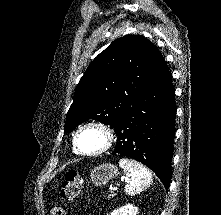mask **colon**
<instances>
[{"label": "colon", "instance_id": "obj_1", "mask_svg": "<svg viewBox=\"0 0 221 215\" xmlns=\"http://www.w3.org/2000/svg\"><path fill=\"white\" fill-rule=\"evenodd\" d=\"M82 186V178L75 170H69L66 172L61 190L60 196L62 201L70 202L77 198ZM50 215H66L65 209L60 204H54L50 208Z\"/></svg>", "mask_w": 221, "mask_h": 215}]
</instances>
